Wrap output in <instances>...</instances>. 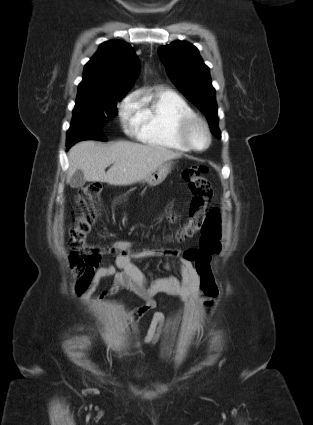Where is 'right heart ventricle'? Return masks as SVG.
Instances as JSON below:
<instances>
[{
	"mask_svg": "<svg viewBox=\"0 0 313 425\" xmlns=\"http://www.w3.org/2000/svg\"><path fill=\"white\" fill-rule=\"evenodd\" d=\"M138 103L135 134L141 142L169 150L190 151L178 137V126L181 119L195 112L180 95L165 89L154 90L145 93Z\"/></svg>",
	"mask_w": 313,
	"mask_h": 425,
	"instance_id": "obj_1",
	"label": "right heart ventricle"
}]
</instances>
